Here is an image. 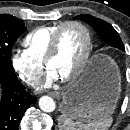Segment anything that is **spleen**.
<instances>
[{
  "mask_svg": "<svg viewBox=\"0 0 130 130\" xmlns=\"http://www.w3.org/2000/svg\"><path fill=\"white\" fill-rule=\"evenodd\" d=\"M113 122L111 116L94 122L73 121L66 115L58 119L59 130H107Z\"/></svg>",
  "mask_w": 130,
  "mask_h": 130,
  "instance_id": "1",
  "label": "spleen"
}]
</instances>
